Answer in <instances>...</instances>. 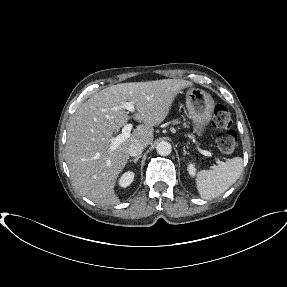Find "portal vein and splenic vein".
Instances as JSON below:
<instances>
[{
  "mask_svg": "<svg viewBox=\"0 0 287 287\" xmlns=\"http://www.w3.org/2000/svg\"><path fill=\"white\" fill-rule=\"evenodd\" d=\"M121 108H124L126 110H128L129 112H134L135 111V107L133 105L132 102H124L121 105ZM133 128V124L132 123H128L126 124L123 128H122V132L121 134L117 135L115 138H113L111 140V146L110 149L111 150H115L120 144H122L123 142H125L129 137H130V133L131 130ZM198 151L208 157L212 156V153L206 150H202V149H198Z\"/></svg>",
  "mask_w": 287,
  "mask_h": 287,
  "instance_id": "1",
  "label": "portal vein and splenic vein"
}]
</instances>
